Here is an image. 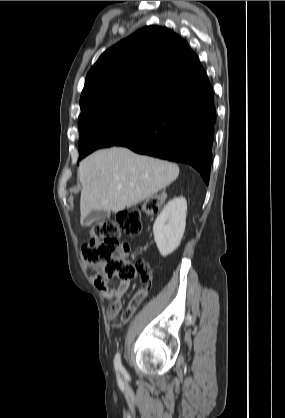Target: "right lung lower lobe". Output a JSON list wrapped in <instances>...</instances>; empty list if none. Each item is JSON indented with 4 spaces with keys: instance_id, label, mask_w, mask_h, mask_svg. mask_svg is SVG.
<instances>
[{
    "instance_id": "98d812e1",
    "label": "right lung lower lobe",
    "mask_w": 285,
    "mask_h": 418,
    "mask_svg": "<svg viewBox=\"0 0 285 418\" xmlns=\"http://www.w3.org/2000/svg\"><path fill=\"white\" fill-rule=\"evenodd\" d=\"M215 123L214 91L207 77L199 87L165 105L163 112L144 129L115 146L189 164L208 184Z\"/></svg>"
}]
</instances>
